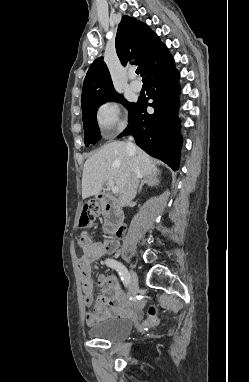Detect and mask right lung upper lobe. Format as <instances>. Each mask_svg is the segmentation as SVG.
<instances>
[{"label": "right lung upper lobe", "mask_w": 249, "mask_h": 382, "mask_svg": "<svg viewBox=\"0 0 249 382\" xmlns=\"http://www.w3.org/2000/svg\"><path fill=\"white\" fill-rule=\"evenodd\" d=\"M116 52L123 65L135 58V64L139 65L144 75L151 65L169 53L166 46L146 24L129 16H123L118 26ZM117 94L103 57L96 59L83 83L82 110L94 100Z\"/></svg>", "instance_id": "cb5924a9"}]
</instances>
